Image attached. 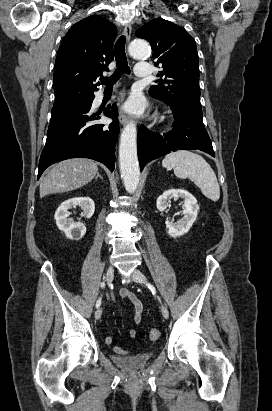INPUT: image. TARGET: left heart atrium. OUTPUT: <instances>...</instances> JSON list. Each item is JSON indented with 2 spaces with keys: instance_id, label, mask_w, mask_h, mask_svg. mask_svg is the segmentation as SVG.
Here are the masks:
<instances>
[{
  "instance_id": "39dd6f15",
  "label": "left heart atrium",
  "mask_w": 272,
  "mask_h": 411,
  "mask_svg": "<svg viewBox=\"0 0 272 411\" xmlns=\"http://www.w3.org/2000/svg\"><path fill=\"white\" fill-rule=\"evenodd\" d=\"M144 108L145 104L140 95H132L125 104V109L131 113H141Z\"/></svg>"
}]
</instances>
